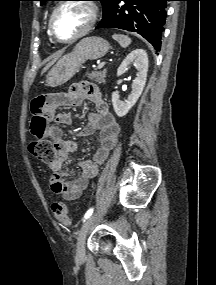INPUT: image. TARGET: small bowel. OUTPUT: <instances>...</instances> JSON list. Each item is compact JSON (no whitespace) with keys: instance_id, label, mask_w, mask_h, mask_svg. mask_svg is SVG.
<instances>
[{"instance_id":"obj_1","label":"small bowel","mask_w":216,"mask_h":285,"mask_svg":"<svg viewBox=\"0 0 216 285\" xmlns=\"http://www.w3.org/2000/svg\"><path fill=\"white\" fill-rule=\"evenodd\" d=\"M90 101L94 112L87 114L85 127L78 132L80 136H98V145L93 157L79 163L81 175L68 179L65 163L71 153L78 150V144L63 137L62 126L72 122L70 113L54 115L52 110L57 107H81ZM31 131L33 136H41V141H48L55 148V158L49 163L50 187L54 193L62 194L66 199L77 198L87 187L88 181L98 173V167L103 164L110 151L117 143L120 126L109 110L98 87L90 82H79L72 85L68 91L52 95L48 99L38 98L32 102ZM54 117L55 126H48V121Z\"/></svg>"}]
</instances>
